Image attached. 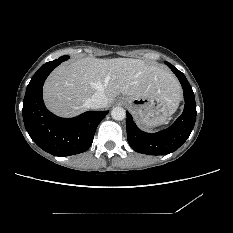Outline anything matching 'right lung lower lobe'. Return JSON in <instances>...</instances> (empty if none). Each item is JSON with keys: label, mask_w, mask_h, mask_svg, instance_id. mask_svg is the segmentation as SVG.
<instances>
[{"label": "right lung lower lobe", "mask_w": 233, "mask_h": 233, "mask_svg": "<svg viewBox=\"0 0 233 233\" xmlns=\"http://www.w3.org/2000/svg\"><path fill=\"white\" fill-rule=\"evenodd\" d=\"M59 64L46 63L32 77L23 100V120L28 134L41 149L55 156H70L90 148L98 124L109 111H88L70 119L49 112L43 102L42 88Z\"/></svg>", "instance_id": "98d812e1"}]
</instances>
